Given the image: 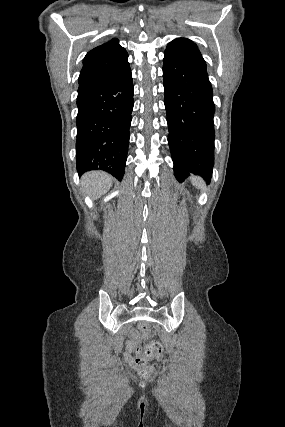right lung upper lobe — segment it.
I'll list each match as a JSON object with an SVG mask.
<instances>
[{
	"mask_svg": "<svg viewBox=\"0 0 285 427\" xmlns=\"http://www.w3.org/2000/svg\"><path fill=\"white\" fill-rule=\"evenodd\" d=\"M127 59V51L116 38L92 49L83 60L78 90L127 74L130 71Z\"/></svg>",
	"mask_w": 285,
	"mask_h": 427,
	"instance_id": "obj_1",
	"label": "right lung upper lobe"
}]
</instances>
